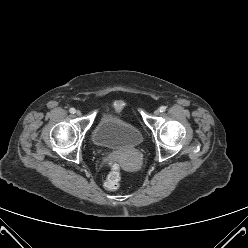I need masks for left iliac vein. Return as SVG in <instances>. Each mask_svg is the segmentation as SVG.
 Returning a JSON list of instances; mask_svg holds the SVG:
<instances>
[{"instance_id":"obj_1","label":"left iliac vein","mask_w":248,"mask_h":248,"mask_svg":"<svg viewBox=\"0 0 248 248\" xmlns=\"http://www.w3.org/2000/svg\"><path fill=\"white\" fill-rule=\"evenodd\" d=\"M159 113H160V111L158 109L154 111L155 116L159 115Z\"/></svg>"}]
</instances>
